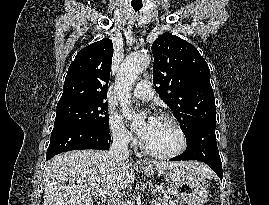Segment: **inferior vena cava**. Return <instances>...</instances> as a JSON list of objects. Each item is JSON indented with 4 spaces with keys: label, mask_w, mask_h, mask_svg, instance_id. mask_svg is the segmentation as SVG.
<instances>
[{
    "label": "inferior vena cava",
    "mask_w": 269,
    "mask_h": 205,
    "mask_svg": "<svg viewBox=\"0 0 269 205\" xmlns=\"http://www.w3.org/2000/svg\"><path fill=\"white\" fill-rule=\"evenodd\" d=\"M129 136L121 131L113 134V143L110 147L109 154L117 161L127 160L129 158L128 150ZM108 205H119L117 199H113Z\"/></svg>",
    "instance_id": "1"
}]
</instances>
